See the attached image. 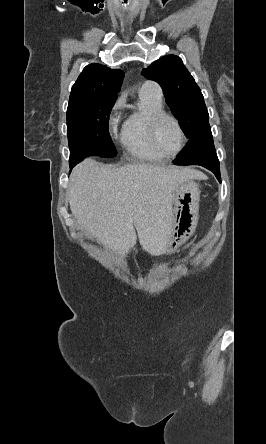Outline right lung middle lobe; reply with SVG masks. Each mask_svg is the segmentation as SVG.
Listing matches in <instances>:
<instances>
[{
    "mask_svg": "<svg viewBox=\"0 0 266 444\" xmlns=\"http://www.w3.org/2000/svg\"><path fill=\"white\" fill-rule=\"evenodd\" d=\"M116 97H103L68 105L67 136L69 163H79L87 156L115 157L108 122Z\"/></svg>",
    "mask_w": 266,
    "mask_h": 444,
    "instance_id": "1",
    "label": "right lung middle lobe"
}]
</instances>
